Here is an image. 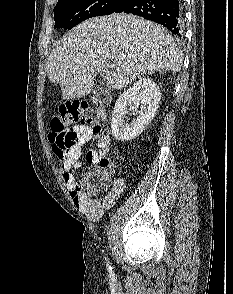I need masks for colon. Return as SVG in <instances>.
I'll return each mask as SVG.
<instances>
[{"mask_svg": "<svg viewBox=\"0 0 233 294\" xmlns=\"http://www.w3.org/2000/svg\"><path fill=\"white\" fill-rule=\"evenodd\" d=\"M92 126L94 133L101 130L93 115L83 102H67L60 106L50 122L49 140L56 156L63 160L74 145V126ZM110 162L102 157L97 167L88 171L77 183V191L83 196H92L109 185Z\"/></svg>", "mask_w": 233, "mask_h": 294, "instance_id": "5ec220e1", "label": "colon"}]
</instances>
